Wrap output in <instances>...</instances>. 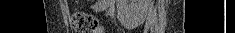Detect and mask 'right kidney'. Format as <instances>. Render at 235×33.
Returning a JSON list of instances; mask_svg holds the SVG:
<instances>
[{
    "label": "right kidney",
    "mask_w": 235,
    "mask_h": 33,
    "mask_svg": "<svg viewBox=\"0 0 235 33\" xmlns=\"http://www.w3.org/2000/svg\"><path fill=\"white\" fill-rule=\"evenodd\" d=\"M148 5L149 0H120V18L130 22L135 19L141 20L146 16Z\"/></svg>",
    "instance_id": "1"
}]
</instances>
